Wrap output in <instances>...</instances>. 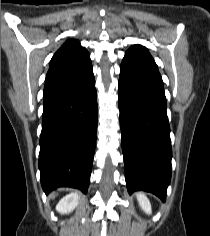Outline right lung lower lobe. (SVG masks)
<instances>
[{
  "instance_id": "obj_1",
  "label": "right lung lower lobe",
  "mask_w": 210,
  "mask_h": 236,
  "mask_svg": "<svg viewBox=\"0 0 210 236\" xmlns=\"http://www.w3.org/2000/svg\"><path fill=\"white\" fill-rule=\"evenodd\" d=\"M39 169L46 193H86L96 144L97 102L91 63L45 82Z\"/></svg>"
}]
</instances>
